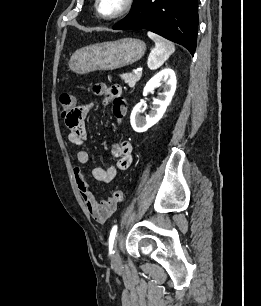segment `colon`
<instances>
[{
  "instance_id": "1",
  "label": "colon",
  "mask_w": 261,
  "mask_h": 306,
  "mask_svg": "<svg viewBox=\"0 0 261 306\" xmlns=\"http://www.w3.org/2000/svg\"><path fill=\"white\" fill-rule=\"evenodd\" d=\"M59 101H60L61 108L63 110V116L68 115L75 109L76 98L72 94H69V93L61 94ZM112 197L116 202H120L123 200L124 193L121 190H116L114 191Z\"/></svg>"
}]
</instances>
